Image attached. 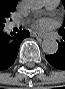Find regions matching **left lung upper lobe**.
I'll list each match as a JSON object with an SVG mask.
<instances>
[{"label":"left lung upper lobe","mask_w":65,"mask_h":89,"mask_svg":"<svg viewBox=\"0 0 65 89\" xmlns=\"http://www.w3.org/2000/svg\"><path fill=\"white\" fill-rule=\"evenodd\" d=\"M64 2V7H65V1ZM59 33L61 35H65V21H64V24L62 25V27L59 29Z\"/></svg>","instance_id":"5c2ea615"}]
</instances>
